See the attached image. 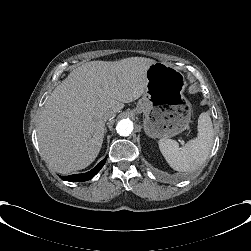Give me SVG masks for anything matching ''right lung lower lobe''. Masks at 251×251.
Segmentation results:
<instances>
[{
	"mask_svg": "<svg viewBox=\"0 0 251 251\" xmlns=\"http://www.w3.org/2000/svg\"><path fill=\"white\" fill-rule=\"evenodd\" d=\"M107 157L103 159L96 167H94L91 171L83 174H75V175H69V176H60L62 180L65 181H71V182H83L90 180L93 178L103 167L105 164Z\"/></svg>",
	"mask_w": 251,
	"mask_h": 251,
	"instance_id": "1",
	"label": "right lung lower lobe"
}]
</instances>
